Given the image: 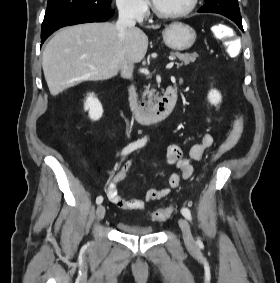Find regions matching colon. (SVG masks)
<instances>
[{"mask_svg":"<svg viewBox=\"0 0 280 283\" xmlns=\"http://www.w3.org/2000/svg\"><path fill=\"white\" fill-rule=\"evenodd\" d=\"M211 30L215 37L218 38V42H226L225 46L228 47L229 55H240L241 54V46H242V38L241 37H232L233 30L226 25H214L211 27ZM237 126L233 132L232 137L224 142L214 156V160L222 157L231 146L237 141L240 137L242 128H243V119L242 116L239 115L236 120ZM173 207L160 208L152 212V219L155 221H165L169 219L171 214L173 213Z\"/></svg>","mask_w":280,"mask_h":283,"instance_id":"5ec220e1","label":"colon"}]
</instances>
